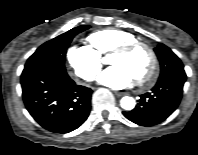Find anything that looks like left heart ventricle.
<instances>
[{
    "mask_svg": "<svg viewBox=\"0 0 198 155\" xmlns=\"http://www.w3.org/2000/svg\"><path fill=\"white\" fill-rule=\"evenodd\" d=\"M110 63L126 68L137 79L149 70L150 56L145 48L139 47L127 54H113Z\"/></svg>",
    "mask_w": 198,
    "mask_h": 155,
    "instance_id": "b2bd125f",
    "label": "left heart ventricle"
}]
</instances>
